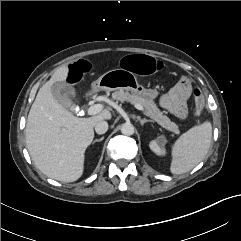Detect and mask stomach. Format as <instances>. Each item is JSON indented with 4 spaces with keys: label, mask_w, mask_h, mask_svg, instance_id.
Returning <instances> with one entry per match:
<instances>
[{
    "label": "stomach",
    "mask_w": 241,
    "mask_h": 241,
    "mask_svg": "<svg viewBox=\"0 0 241 241\" xmlns=\"http://www.w3.org/2000/svg\"><path fill=\"white\" fill-rule=\"evenodd\" d=\"M91 86L96 91L127 90L150 99H155L159 95L156 89H146L140 85L132 71H125L122 68L106 72L94 81Z\"/></svg>",
    "instance_id": "1"
}]
</instances>
